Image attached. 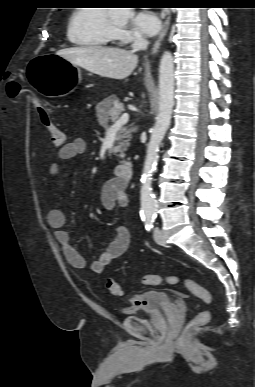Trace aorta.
<instances>
[{
    "label": "aorta",
    "mask_w": 255,
    "mask_h": 387,
    "mask_svg": "<svg viewBox=\"0 0 255 387\" xmlns=\"http://www.w3.org/2000/svg\"><path fill=\"white\" fill-rule=\"evenodd\" d=\"M112 18L125 23L133 16V8H109ZM174 106V61L170 51H165L159 65V109L156 123L151 130L143 173L141 176V212L152 218L157 210V201L152 190V176L159 159V146L170 126Z\"/></svg>",
    "instance_id": "762f6f07"
}]
</instances>
